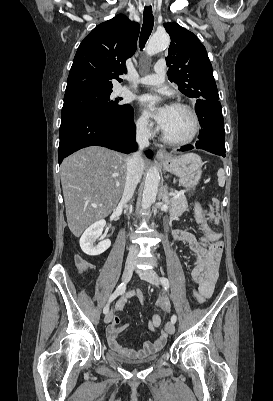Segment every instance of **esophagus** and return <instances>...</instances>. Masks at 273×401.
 <instances>
[{
    "mask_svg": "<svg viewBox=\"0 0 273 401\" xmlns=\"http://www.w3.org/2000/svg\"><path fill=\"white\" fill-rule=\"evenodd\" d=\"M156 158L157 159H167L168 154H167L166 150H164L163 148L159 149L156 153Z\"/></svg>",
    "mask_w": 273,
    "mask_h": 401,
    "instance_id": "1",
    "label": "esophagus"
}]
</instances>
